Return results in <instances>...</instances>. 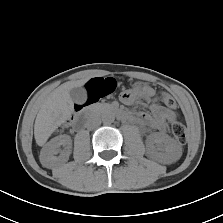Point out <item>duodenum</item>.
<instances>
[{
	"label": "duodenum",
	"instance_id": "obj_1",
	"mask_svg": "<svg viewBox=\"0 0 223 223\" xmlns=\"http://www.w3.org/2000/svg\"><path fill=\"white\" fill-rule=\"evenodd\" d=\"M111 109L115 112V114L118 116V118H120L122 120H130V115L127 112H125L124 110L119 109L117 107H112ZM90 116H91V113H88V114H86V116H80V117L76 118L73 121V128L81 129L89 121Z\"/></svg>",
	"mask_w": 223,
	"mask_h": 223
}]
</instances>
